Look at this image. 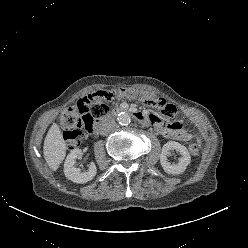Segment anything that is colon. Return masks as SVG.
<instances>
[{
	"instance_id": "colon-1",
	"label": "colon",
	"mask_w": 248,
	"mask_h": 248,
	"mask_svg": "<svg viewBox=\"0 0 248 248\" xmlns=\"http://www.w3.org/2000/svg\"><path fill=\"white\" fill-rule=\"evenodd\" d=\"M119 96L135 97L147 105L158 108L161 117L165 120L173 119L177 114L174 105L140 90L111 89L83 96L73 107L65 110L60 117L63 136L69 150L76 149L85 133L92 130L94 123L107 115L109 108L105 102ZM188 150L192 155H197L200 152V145L192 142L188 145Z\"/></svg>"
}]
</instances>
